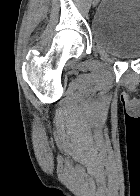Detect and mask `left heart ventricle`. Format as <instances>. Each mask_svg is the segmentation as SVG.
<instances>
[{
	"label": "left heart ventricle",
	"instance_id": "1",
	"mask_svg": "<svg viewBox=\"0 0 140 196\" xmlns=\"http://www.w3.org/2000/svg\"><path fill=\"white\" fill-rule=\"evenodd\" d=\"M104 192H121V191H104Z\"/></svg>",
	"mask_w": 140,
	"mask_h": 196
}]
</instances>
